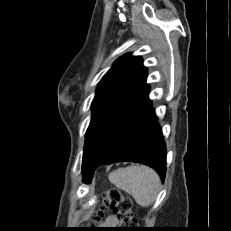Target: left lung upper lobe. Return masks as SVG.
<instances>
[{"instance_id":"1","label":"left lung upper lobe","mask_w":231,"mask_h":231,"mask_svg":"<svg viewBox=\"0 0 231 231\" xmlns=\"http://www.w3.org/2000/svg\"><path fill=\"white\" fill-rule=\"evenodd\" d=\"M147 69L140 57L130 54L120 57L97 87L92 102V120L86 132L83 163L112 119L145 85Z\"/></svg>"}]
</instances>
